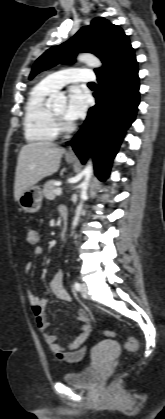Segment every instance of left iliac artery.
Here are the masks:
<instances>
[{"label":"left iliac artery","mask_w":165,"mask_h":419,"mask_svg":"<svg viewBox=\"0 0 165 419\" xmlns=\"http://www.w3.org/2000/svg\"><path fill=\"white\" fill-rule=\"evenodd\" d=\"M74 289H75L76 291H80V289H81V285H80V283L75 282V283H74Z\"/></svg>","instance_id":"1"}]
</instances>
